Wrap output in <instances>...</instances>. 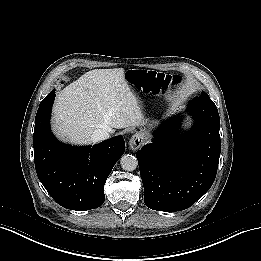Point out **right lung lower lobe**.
<instances>
[{"mask_svg": "<svg viewBox=\"0 0 261 261\" xmlns=\"http://www.w3.org/2000/svg\"><path fill=\"white\" fill-rule=\"evenodd\" d=\"M55 90L40 103L33 136L34 162L39 180L61 206L76 211L94 209L105 200L104 185L125 151L122 136L93 147H70L51 133L49 119Z\"/></svg>", "mask_w": 261, "mask_h": 261, "instance_id": "right-lung-lower-lobe-1", "label": "right lung lower lobe"}]
</instances>
